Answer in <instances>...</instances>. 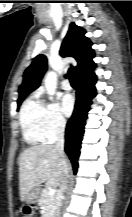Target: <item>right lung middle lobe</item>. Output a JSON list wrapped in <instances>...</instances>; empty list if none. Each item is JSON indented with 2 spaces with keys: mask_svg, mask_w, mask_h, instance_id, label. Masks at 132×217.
Returning a JSON list of instances; mask_svg holds the SVG:
<instances>
[{
  "mask_svg": "<svg viewBox=\"0 0 132 217\" xmlns=\"http://www.w3.org/2000/svg\"><path fill=\"white\" fill-rule=\"evenodd\" d=\"M22 101H23V99H19L18 100V105H20Z\"/></svg>",
  "mask_w": 132,
  "mask_h": 217,
  "instance_id": "1",
  "label": "right lung middle lobe"
}]
</instances>
